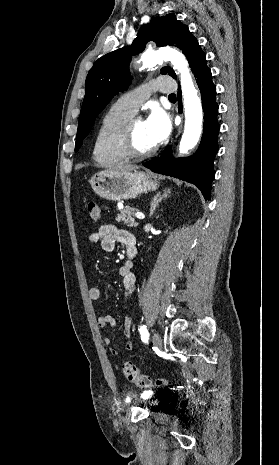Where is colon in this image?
<instances>
[{
	"label": "colon",
	"instance_id": "obj_1",
	"mask_svg": "<svg viewBox=\"0 0 279 465\" xmlns=\"http://www.w3.org/2000/svg\"><path fill=\"white\" fill-rule=\"evenodd\" d=\"M88 214L92 222L97 223L101 219V209L96 203L88 204ZM122 372L124 376L135 385L141 388H152V387H164L168 384V381L164 378H152L148 375L142 374L139 369L130 362H126L122 365Z\"/></svg>",
	"mask_w": 279,
	"mask_h": 465
}]
</instances>
